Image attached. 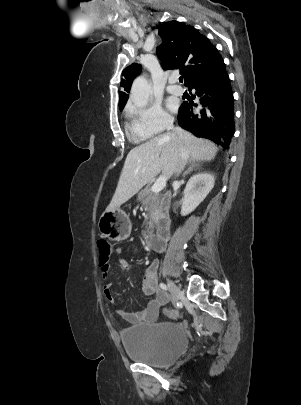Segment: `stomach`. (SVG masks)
<instances>
[{
    "label": "stomach",
    "mask_w": 301,
    "mask_h": 405,
    "mask_svg": "<svg viewBox=\"0 0 301 405\" xmlns=\"http://www.w3.org/2000/svg\"><path fill=\"white\" fill-rule=\"evenodd\" d=\"M98 228L104 237L114 241H122L131 233V222L128 215L121 209L105 210L99 218Z\"/></svg>",
    "instance_id": "obj_1"
}]
</instances>
